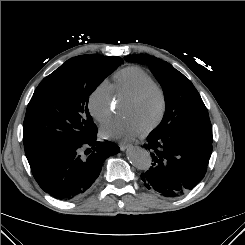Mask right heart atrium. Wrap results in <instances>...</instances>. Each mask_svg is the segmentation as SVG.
I'll return each mask as SVG.
<instances>
[{
	"mask_svg": "<svg viewBox=\"0 0 245 245\" xmlns=\"http://www.w3.org/2000/svg\"><path fill=\"white\" fill-rule=\"evenodd\" d=\"M114 91L112 85L103 80L90 93L88 110L93 119L99 123L108 121L113 114Z\"/></svg>",
	"mask_w": 245,
	"mask_h": 245,
	"instance_id": "1",
	"label": "right heart atrium"
}]
</instances>
